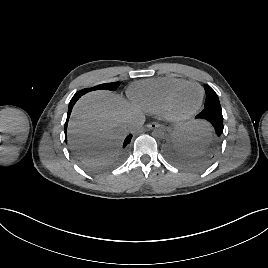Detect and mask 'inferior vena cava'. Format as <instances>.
Here are the masks:
<instances>
[{"label": "inferior vena cava", "mask_w": 268, "mask_h": 268, "mask_svg": "<svg viewBox=\"0 0 268 268\" xmlns=\"http://www.w3.org/2000/svg\"><path fill=\"white\" fill-rule=\"evenodd\" d=\"M143 122V119H139L138 121L134 122L132 125H130V130H133L136 126H139L140 123Z\"/></svg>", "instance_id": "602c4592"}]
</instances>
